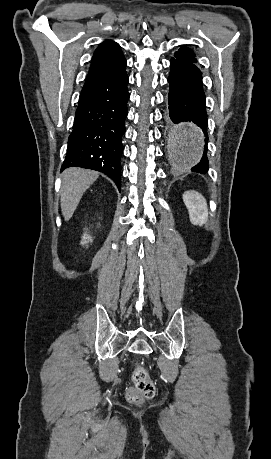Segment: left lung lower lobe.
<instances>
[{"label": "left lung lower lobe", "instance_id": "left-lung-lower-lobe-1", "mask_svg": "<svg viewBox=\"0 0 271 459\" xmlns=\"http://www.w3.org/2000/svg\"><path fill=\"white\" fill-rule=\"evenodd\" d=\"M169 114L174 123L192 121L207 136V113L202 85V72L195 62L172 58L168 77ZM208 140L205 143L207 145ZM205 145V151L207 150ZM191 171L206 173L208 159L204 153L201 161Z\"/></svg>", "mask_w": 271, "mask_h": 459}]
</instances>
